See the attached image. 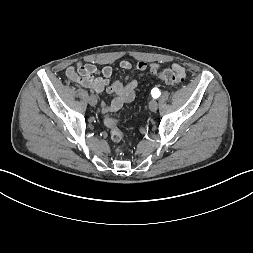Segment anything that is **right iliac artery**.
<instances>
[{
  "label": "right iliac artery",
  "mask_w": 253,
  "mask_h": 253,
  "mask_svg": "<svg viewBox=\"0 0 253 253\" xmlns=\"http://www.w3.org/2000/svg\"><path fill=\"white\" fill-rule=\"evenodd\" d=\"M90 94L93 95V94H94V91H93V90H90Z\"/></svg>",
  "instance_id": "obj_1"
}]
</instances>
